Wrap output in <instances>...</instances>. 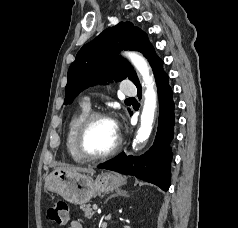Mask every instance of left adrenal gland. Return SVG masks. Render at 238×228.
Listing matches in <instances>:
<instances>
[{"label":"left adrenal gland","mask_w":238,"mask_h":228,"mask_svg":"<svg viewBox=\"0 0 238 228\" xmlns=\"http://www.w3.org/2000/svg\"><path fill=\"white\" fill-rule=\"evenodd\" d=\"M116 196H125V197H127L128 194H127V192H126L125 190L118 189V190H116V193H115V194L111 195V196L105 201V203H106L109 199H111V198H113V197H116Z\"/></svg>","instance_id":"a2214340"}]
</instances>
